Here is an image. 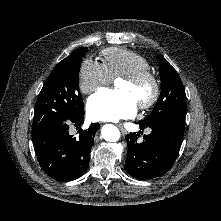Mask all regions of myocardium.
<instances>
[{
    "label": "myocardium",
    "mask_w": 221,
    "mask_h": 221,
    "mask_svg": "<svg viewBox=\"0 0 221 221\" xmlns=\"http://www.w3.org/2000/svg\"><path fill=\"white\" fill-rule=\"evenodd\" d=\"M120 79L135 86H140L143 84L150 85L151 92L149 96L138 104L140 109H148L157 102L161 91L160 81L158 77L150 70L125 75L120 77Z\"/></svg>",
    "instance_id": "f54148a6"
}]
</instances>
